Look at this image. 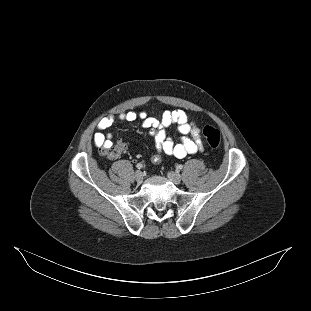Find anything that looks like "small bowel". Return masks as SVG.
<instances>
[{"label":"small bowel","instance_id":"small-bowel-1","mask_svg":"<svg viewBox=\"0 0 311 311\" xmlns=\"http://www.w3.org/2000/svg\"><path fill=\"white\" fill-rule=\"evenodd\" d=\"M119 118L128 122L138 118L142 120V126L148 129L155 140L157 153L151 156L153 163L160 162L162 154L182 159L203 149L199 129L190 122L187 114L182 110L165 111L160 119L150 117L144 112L136 113L133 111L122 113ZM113 123L114 118L112 116H107L99 121L97 132L94 135L96 146L111 145V136L104 134L103 131L110 128ZM172 126H176L182 134V140L178 144H175L167 135V130Z\"/></svg>","mask_w":311,"mask_h":311}]
</instances>
